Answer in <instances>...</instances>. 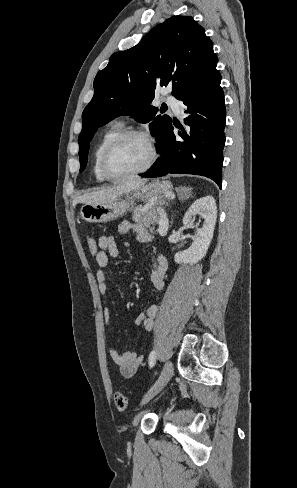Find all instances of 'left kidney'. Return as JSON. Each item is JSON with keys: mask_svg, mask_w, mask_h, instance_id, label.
Returning a JSON list of instances; mask_svg holds the SVG:
<instances>
[{"mask_svg": "<svg viewBox=\"0 0 297 488\" xmlns=\"http://www.w3.org/2000/svg\"><path fill=\"white\" fill-rule=\"evenodd\" d=\"M196 215L204 216V223L196 230V238L192 245L185 251L177 252L174 261L178 264H195L207 253L213 238V232L217 219V207L212 196H205L197 199L187 210L183 217V224L193 228V218Z\"/></svg>", "mask_w": 297, "mask_h": 488, "instance_id": "left-kidney-1", "label": "left kidney"}]
</instances>
